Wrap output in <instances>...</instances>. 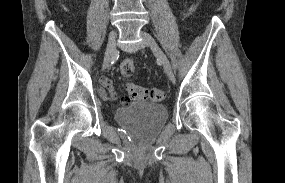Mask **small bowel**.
I'll return each mask as SVG.
<instances>
[{
	"label": "small bowel",
	"mask_w": 285,
	"mask_h": 183,
	"mask_svg": "<svg viewBox=\"0 0 285 183\" xmlns=\"http://www.w3.org/2000/svg\"><path fill=\"white\" fill-rule=\"evenodd\" d=\"M101 84H102V88L99 89L100 95L103 96V97H106L107 93H109L110 96L114 98L115 97V92H114V89H113L111 81L108 78L104 77L101 80Z\"/></svg>",
	"instance_id": "obj_1"
}]
</instances>
